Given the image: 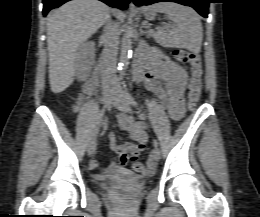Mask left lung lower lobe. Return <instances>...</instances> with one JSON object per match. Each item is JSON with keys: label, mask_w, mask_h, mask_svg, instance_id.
I'll list each match as a JSON object with an SVG mask.
<instances>
[{"label": "left lung lower lobe", "mask_w": 260, "mask_h": 217, "mask_svg": "<svg viewBox=\"0 0 260 217\" xmlns=\"http://www.w3.org/2000/svg\"><path fill=\"white\" fill-rule=\"evenodd\" d=\"M137 6L150 5L157 2H176L182 5L193 7L200 15L207 18L208 16V4L210 0H131Z\"/></svg>", "instance_id": "1"}]
</instances>
